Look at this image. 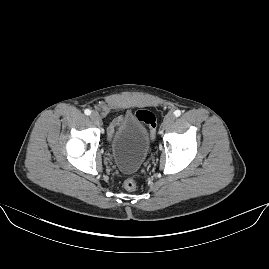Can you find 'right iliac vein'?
<instances>
[{
	"instance_id": "63e3f726",
	"label": "right iliac vein",
	"mask_w": 269,
	"mask_h": 269,
	"mask_svg": "<svg viewBox=\"0 0 269 269\" xmlns=\"http://www.w3.org/2000/svg\"><path fill=\"white\" fill-rule=\"evenodd\" d=\"M90 119H91L92 123H94L95 125H97V126L101 125V117L98 113H92L90 115Z\"/></svg>"
}]
</instances>
